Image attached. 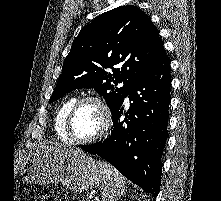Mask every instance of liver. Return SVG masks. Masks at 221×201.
<instances>
[{
  "label": "liver",
  "mask_w": 221,
  "mask_h": 201,
  "mask_svg": "<svg viewBox=\"0 0 221 201\" xmlns=\"http://www.w3.org/2000/svg\"><path fill=\"white\" fill-rule=\"evenodd\" d=\"M42 149H50L52 151L56 152H68V151H74L72 149H68L66 146L56 144L55 146H47V147H42Z\"/></svg>",
  "instance_id": "6515ba94"
}]
</instances>
